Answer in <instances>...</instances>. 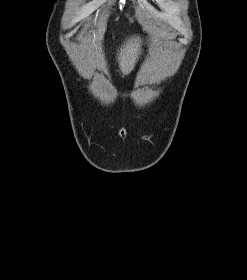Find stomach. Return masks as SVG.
<instances>
[{"label": "stomach", "instance_id": "1", "mask_svg": "<svg viewBox=\"0 0 247 280\" xmlns=\"http://www.w3.org/2000/svg\"><path fill=\"white\" fill-rule=\"evenodd\" d=\"M166 40H171L170 38L166 37Z\"/></svg>", "mask_w": 247, "mask_h": 280}]
</instances>
